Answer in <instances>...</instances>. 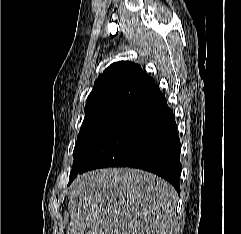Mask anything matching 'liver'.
<instances>
[{
	"label": "liver",
	"instance_id": "obj_1",
	"mask_svg": "<svg viewBox=\"0 0 241 234\" xmlns=\"http://www.w3.org/2000/svg\"><path fill=\"white\" fill-rule=\"evenodd\" d=\"M69 194L68 234H171L178 195L162 178L132 168L79 175Z\"/></svg>",
	"mask_w": 241,
	"mask_h": 234
}]
</instances>
